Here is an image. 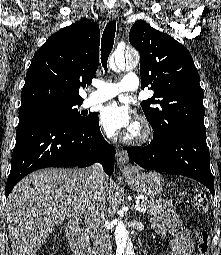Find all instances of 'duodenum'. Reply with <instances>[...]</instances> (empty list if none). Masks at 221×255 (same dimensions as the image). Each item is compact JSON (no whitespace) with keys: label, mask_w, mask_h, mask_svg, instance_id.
Wrapping results in <instances>:
<instances>
[{"label":"duodenum","mask_w":221,"mask_h":255,"mask_svg":"<svg viewBox=\"0 0 221 255\" xmlns=\"http://www.w3.org/2000/svg\"><path fill=\"white\" fill-rule=\"evenodd\" d=\"M66 231L69 244L76 255H94V252L86 243L84 234L77 221H70L66 226Z\"/></svg>","instance_id":"duodenum-1"}]
</instances>
